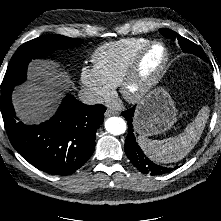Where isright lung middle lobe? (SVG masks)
Masks as SVG:
<instances>
[{
	"instance_id": "obj_1",
	"label": "right lung middle lobe",
	"mask_w": 221,
	"mask_h": 221,
	"mask_svg": "<svg viewBox=\"0 0 221 221\" xmlns=\"http://www.w3.org/2000/svg\"><path fill=\"white\" fill-rule=\"evenodd\" d=\"M81 43L83 40L80 38L51 34L22 44L9 62L2 82V90L21 84L26 80L27 66L32 59L42 58L54 50L76 47Z\"/></svg>"
}]
</instances>
